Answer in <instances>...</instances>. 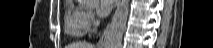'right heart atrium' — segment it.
<instances>
[{
	"instance_id": "obj_1",
	"label": "right heart atrium",
	"mask_w": 213,
	"mask_h": 48,
	"mask_svg": "<svg viewBox=\"0 0 213 48\" xmlns=\"http://www.w3.org/2000/svg\"><path fill=\"white\" fill-rule=\"evenodd\" d=\"M85 22L88 25L89 29L90 26L93 24L94 22V15L91 11H87L85 12Z\"/></svg>"
}]
</instances>
